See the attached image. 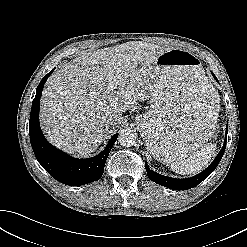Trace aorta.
I'll use <instances>...</instances> for the list:
<instances>
[{"label": "aorta", "instance_id": "762f6f07", "mask_svg": "<svg viewBox=\"0 0 247 247\" xmlns=\"http://www.w3.org/2000/svg\"><path fill=\"white\" fill-rule=\"evenodd\" d=\"M135 139V134L129 129L122 130L118 136L119 144L125 147L132 146L135 143Z\"/></svg>", "mask_w": 247, "mask_h": 247}]
</instances>
